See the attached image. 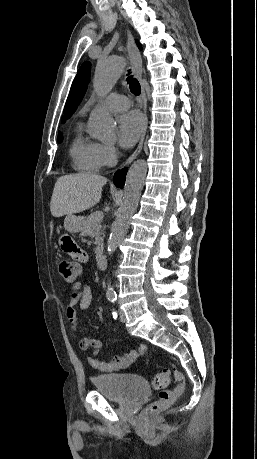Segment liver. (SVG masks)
<instances>
[{
    "instance_id": "1",
    "label": "liver",
    "mask_w": 257,
    "mask_h": 459,
    "mask_svg": "<svg viewBox=\"0 0 257 459\" xmlns=\"http://www.w3.org/2000/svg\"><path fill=\"white\" fill-rule=\"evenodd\" d=\"M107 179L91 173L61 176L53 190L50 211L54 217L79 213L96 205Z\"/></svg>"
}]
</instances>
